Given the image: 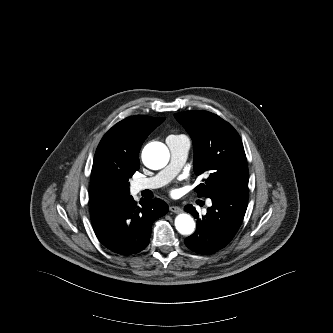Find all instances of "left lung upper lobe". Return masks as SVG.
I'll use <instances>...</instances> for the list:
<instances>
[{"instance_id": "obj_1", "label": "left lung upper lobe", "mask_w": 333, "mask_h": 333, "mask_svg": "<svg viewBox=\"0 0 333 333\" xmlns=\"http://www.w3.org/2000/svg\"><path fill=\"white\" fill-rule=\"evenodd\" d=\"M175 118L190 134L194 145V171L208 174L196 187L199 197L222 190L248 188V167L242 141L236 130L207 111H186Z\"/></svg>"}]
</instances>
